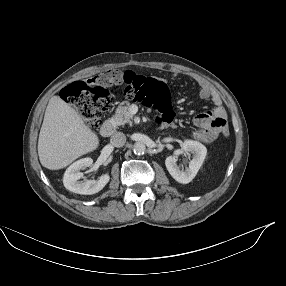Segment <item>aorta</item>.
I'll list each match as a JSON object with an SVG mask.
<instances>
[{
  "label": "aorta",
  "mask_w": 286,
  "mask_h": 286,
  "mask_svg": "<svg viewBox=\"0 0 286 286\" xmlns=\"http://www.w3.org/2000/svg\"><path fill=\"white\" fill-rule=\"evenodd\" d=\"M145 150H146V146L144 143L142 142H136L134 145H133V151L135 154L137 155H141V154H144L145 153Z\"/></svg>",
  "instance_id": "obj_1"
}]
</instances>
